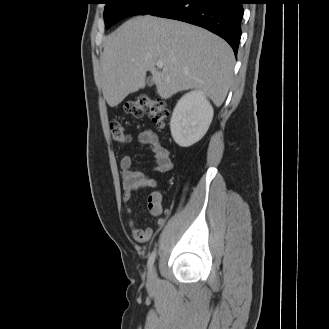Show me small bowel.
I'll return each instance as SVG.
<instances>
[{
	"label": "small bowel",
	"mask_w": 329,
	"mask_h": 329,
	"mask_svg": "<svg viewBox=\"0 0 329 329\" xmlns=\"http://www.w3.org/2000/svg\"><path fill=\"white\" fill-rule=\"evenodd\" d=\"M138 140L143 147L150 149L155 159L154 170L158 173H165L171 170L172 160L168 149L160 142L158 136L150 130H144L139 133ZM123 181V200L127 213L132 212L129 203L133 193L145 188L153 189L148 196L147 207L149 212L156 217V225L162 227L165 219L162 214V194L159 190L156 179L150 177L142 171L132 168V160L129 155H124L120 160ZM129 227L133 238L139 243H146L152 239L153 231L151 228H139L133 221H129Z\"/></svg>",
	"instance_id": "small-bowel-1"
}]
</instances>
